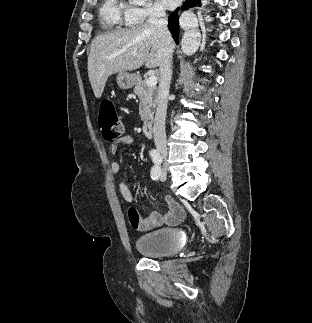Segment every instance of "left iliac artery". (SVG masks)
Masks as SVG:
<instances>
[{
	"label": "left iliac artery",
	"instance_id": "1",
	"mask_svg": "<svg viewBox=\"0 0 312 323\" xmlns=\"http://www.w3.org/2000/svg\"><path fill=\"white\" fill-rule=\"evenodd\" d=\"M160 173H161V169L158 168V167H153L152 170H151V178L153 180H157L160 176Z\"/></svg>",
	"mask_w": 312,
	"mask_h": 323
}]
</instances>
